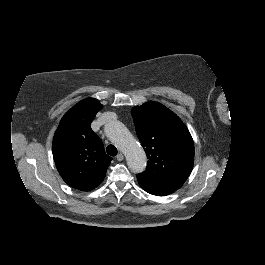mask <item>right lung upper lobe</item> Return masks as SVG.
<instances>
[{
  "label": "right lung upper lobe",
  "instance_id": "cb5924a9",
  "mask_svg": "<svg viewBox=\"0 0 265 265\" xmlns=\"http://www.w3.org/2000/svg\"><path fill=\"white\" fill-rule=\"evenodd\" d=\"M102 105L97 99L78 102L62 117L53 138V158L63 180L78 190L89 191L104 179L112 160L90 125Z\"/></svg>",
  "mask_w": 265,
  "mask_h": 265
}]
</instances>
